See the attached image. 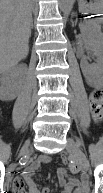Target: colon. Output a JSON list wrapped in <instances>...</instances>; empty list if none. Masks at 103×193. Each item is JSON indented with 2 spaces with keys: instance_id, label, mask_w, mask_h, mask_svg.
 Masks as SVG:
<instances>
[{
  "instance_id": "colon-1",
  "label": "colon",
  "mask_w": 103,
  "mask_h": 193,
  "mask_svg": "<svg viewBox=\"0 0 103 193\" xmlns=\"http://www.w3.org/2000/svg\"><path fill=\"white\" fill-rule=\"evenodd\" d=\"M89 106L92 117L96 121H100L103 117V89L96 88L89 95ZM69 169L72 173H79L81 167L76 162L69 164Z\"/></svg>"
}]
</instances>
